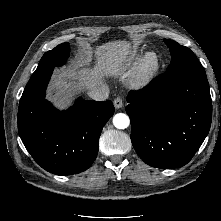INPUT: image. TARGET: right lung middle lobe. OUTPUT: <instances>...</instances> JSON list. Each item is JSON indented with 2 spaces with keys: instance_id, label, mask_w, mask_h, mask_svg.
Masks as SVG:
<instances>
[{
  "instance_id": "1",
  "label": "right lung middle lobe",
  "mask_w": 221,
  "mask_h": 221,
  "mask_svg": "<svg viewBox=\"0 0 221 221\" xmlns=\"http://www.w3.org/2000/svg\"><path fill=\"white\" fill-rule=\"evenodd\" d=\"M69 52L70 49L68 43H62L54 49L46 52L41 58L35 72L63 65L69 57Z\"/></svg>"
}]
</instances>
